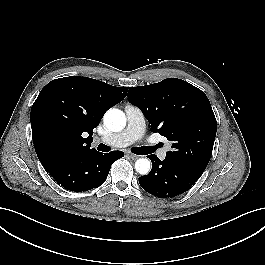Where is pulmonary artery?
<instances>
[{
	"instance_id": "pulmonary-artery-1",
	"label": "pulmonary artery",
	"mask_w": 265,
	"mask_h": 265,
	"mask_svg": "<svg viewBox=\"0 0 265 265\" xmlns=\"http://www.w3.org/2000/svg\"><path fill=\"white\" fill-rule=\"evenodd\" d=\"M125 113L127 118L126 128L122 132L110 136L107 140L101 139V141L114 147H126L142 137L145 131V119L142 111L138 107L127 105ZM158 157L162 160L165 159L166 149H160Z\"/></svg>"
}]
</instances>
